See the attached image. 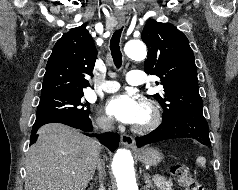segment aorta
I'll use <instances>...</instances> for the list:
<instances>
[{
    "instance_id": "obj_1",
    "label": "aorta",
    "mask_w": 238,
    "mask_h": 190,
    "mask_svg": "<svg viewBox=\"0 0 238 190\" xmlns=\"http://www.w3.org/2000/svg\"><path fill=\"white\" fill-rule=\"evenodd\" d=\"M126 55L134 60L146 57V46L141 40H131L125 45ZM112 170L117 181V190H138L135 178L133 158L126 149H118L114 155Z\"/></svg>"
}]
</instances>
